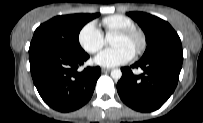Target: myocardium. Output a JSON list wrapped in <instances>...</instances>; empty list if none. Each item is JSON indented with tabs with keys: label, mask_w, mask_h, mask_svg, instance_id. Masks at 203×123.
<instances>
[{
	"label": "myocardium",
	"mask_w": 203,
	"mask_h": 123,
	"mask_svg": "<svg viewBox=\"0 0 203 123\" xmlns=\"http://www.w3.org/2000/svg\"><path fill=\"white\" fill-rule=\"evenodd\" d=\"M114 34H117L120 36H125V37L135 35L139 38V45L136 48V50L134 51L133 56L140 55L146 47L145 34L136 27L119 29V30L115 31Z\"/></svg>",
	"instance_id": "obj_1"
}]
</instances>
